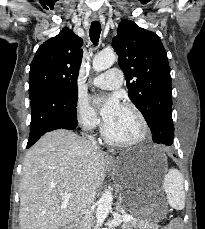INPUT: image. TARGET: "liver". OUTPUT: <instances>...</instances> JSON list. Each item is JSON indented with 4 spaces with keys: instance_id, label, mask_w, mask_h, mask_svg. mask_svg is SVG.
I'll list each match as a JSON object with an SVG mask.
<instances>
[{
    "instance_id": "obj_1",
    "label": "liver",
    "mask_w": 205,
    "mask_h": 229,
    "mask_svg": "<svg viewBox=\"0 0 205 229\" xmlns=\"http://www.w3.org/2000/svg\"><path fill=\"white\" fill-rule=\"evenodd\" d=\"M105 174V154L97 146L69 130L46 133L23 162L20 229H60L69 224L81 210L83 196L98 190ZM60 193L73 197L64 202Z\"/></svg>"
}]
</instances>
